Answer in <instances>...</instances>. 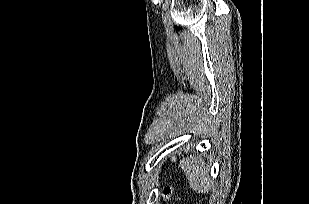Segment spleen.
Instances as JSON below:
<instances>
[{
    "label": "spleen",
    "mask_w": 309,
    "mask_h": 204,
    "mask_svg": "<svg viewBox=\"0 0 309 204\" xmlns=\"http://www.w3.org/2000/svg\"><path fill=\"white\" fill-rule=\"evenodd\" d=\"M179 166L184 171L190 187L195 192L205 193L211 189L209 168L206 167L204 159L190 155V157L180 160Z\"/></svg>",
    "instance_id": "3e777b00"
}]
</instances>
